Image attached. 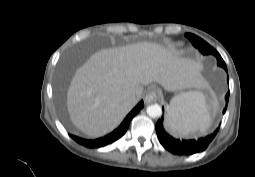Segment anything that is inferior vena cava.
<instances>
[{
  "mask_svg": "<svg viewBox=\"0 0 255 177\" xmlns=\"http://www.w3.org/2000/svg\"><path fill=\"white\" fill-rule=\"evenodd\" d=\"M138 102V97L136 95H132L129 97V103L135 105Z\"/></svg>",
  "mask_w": 255,
  "mask_h": 177,
  "instance_id": "obj_1",
  "label": "inferior vena cava"
}]
</instances>
